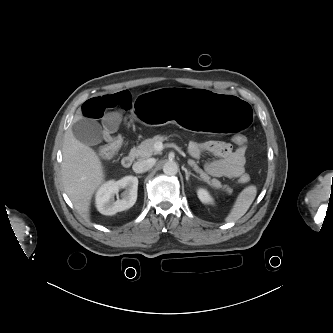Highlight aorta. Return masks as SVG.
Masks as SVG:
<instances>
[{
  "instance_id": "762f6f07",
  "label": "aorta",
  "mask_w": 333,
  "mask_h": 333,
  "mask_svg": "<svg viewBox=\"0 0 333 333\" xmlns=\"http://www.w3.org/2000/svg\"><path fill=\"white\" fill-rule=\"evenodd\" d=\"M163 172L166 175L173 176L178 172V166L175 162L169 161L166 162L163 166Z\"/></svg>"
}]
</instances>
